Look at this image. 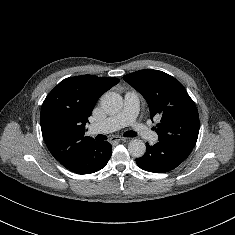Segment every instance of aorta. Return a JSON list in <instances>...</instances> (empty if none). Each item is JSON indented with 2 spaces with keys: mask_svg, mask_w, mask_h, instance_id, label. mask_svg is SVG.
<instances>
[{
  "mask_svg": "<svg viewBox=\"0 0 235 235\" xmlns=\"http://www.w3.org/2000/svg\"><path fill=\"white\" fill-rule=\"evenodd\" d=\"M100 105L107 114L113 115L121 111L123 100L118 93L107 92L101 97ZM128 151L135 158L142 157L146 151L145 143L139 139H132L128 144Z\"/></svg>",
  "mask_w": 235,
  "mask_h": 235,
  "instance_id": "obj_1",
  "label": "aorta"
}]
</instances>
